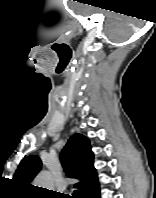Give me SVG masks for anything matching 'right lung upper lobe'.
I'll list each match as a JSON object with an SVG mask.
<instances>
[{
  "label": "right lung upper lobe",
  "mask_w": 156,
  "mask_h": 198,
  "mask_svg": "<svg viewBox=\"0 0 156 198\" xmlns=\"http://www.w3.org/2000/svg\"><path fill=\"white\" fill-rule=\"evenodd\" d=\"M93 159L90 141L81 134L73 135L61 153L62 165L67 175L81 180L75 184V187L83 190L84 198H88L99 189ZM41 164L40 158L36 155L25 157L13 179L22 184H28L39 172Z\"/></svg>",
  "instance_id": "right-lung-upper-lobe-1"
}]
</instances>
